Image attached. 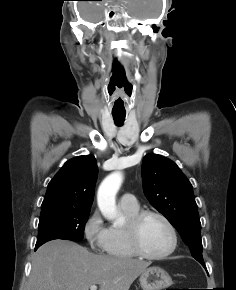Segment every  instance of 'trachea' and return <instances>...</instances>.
<instances>
[{"label": "trachea", "mask_w": 236, "mask_h": 290, "mask_svg": "<svg viewBox=\"0 0 236 290\" xmlns=\"http://www.w3.org/2000/svg\"><path fill=\"white\" fill-rule=\"evenodd\" d=\"M114 122L117 126H121L125 121V113H112Z\"/></svg>", "instance_id": "trachea-1"}]
</instances>
